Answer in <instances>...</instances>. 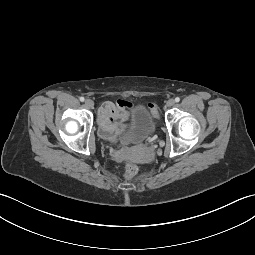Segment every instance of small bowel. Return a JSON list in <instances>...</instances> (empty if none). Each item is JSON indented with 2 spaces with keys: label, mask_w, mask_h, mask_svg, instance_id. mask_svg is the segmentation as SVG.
Segmentation results:
<instances>
[{
  "label": "small bowel",
  "mask_w": 255,
  "mask_h": 255,
  "mask_svg": "<svg viewBox=\"0 0 255 255\" xmlns=\"http://www.w3.org/2000/svg\"><path fill=\"white\" fill-rule=\"evenodd\" d=\"M132 103L118 100L116 103L106 101L98 111V121L103 136H109L128 122V110Z\"/></svg>",
  "instance_id": "small-bowel-1"
}]
</instances>
